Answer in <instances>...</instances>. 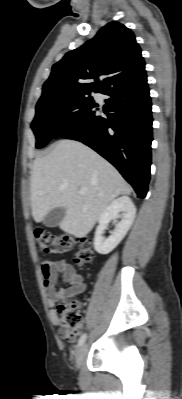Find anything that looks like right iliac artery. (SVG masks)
I'll return each instance as SVG.
<instances>
[{
	"label": "right iliac artery",
	"mask_w": 182,
	"mask_h": 399,
	"mask_svg": "<svg viewBox=\"0 0 182 399\" xmlns=\"http://www.w3.org/2000/svg\"><path fill=\"white\" fill-rule=\"evenodd\" d=\"M86 337H87V335H86V334H83V335L79 338L78 346H81V345L85 342Z\"/></svg>",
	"instance_id": "obj_1"
}]
</instances>
